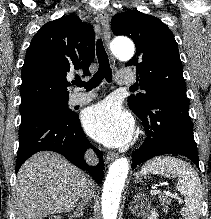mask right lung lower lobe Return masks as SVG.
Instances as JSON below:
<instances>
[{
	"label": "right lung lower lobe",
	"mask_w": 211,
	"mask_h": 219,
	"mask_svg": "<svg viewBox=\"0 0 211 219\" xmlns=\"http://www.w3.org/2000/svg\"><path fill=\"white\" fill-rule=\"evenodd\" d=\"M87 148H93L97 154L98 165L90 167L84 161V152ZM44 150L60 153L76 166L89 171L96 183L101 182L103 155L89 143L76 113L73 112L71 115L45 113L21 121L16 173L31 155Z\"/></svg>",
	"instance_id": "1"
}]
</instances>
